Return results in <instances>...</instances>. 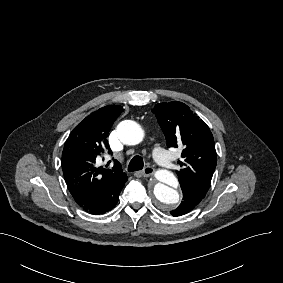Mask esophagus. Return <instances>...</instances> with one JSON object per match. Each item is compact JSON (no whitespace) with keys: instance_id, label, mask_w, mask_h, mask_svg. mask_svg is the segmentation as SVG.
Segmentation results:
<instances>
[{"instance_id":"esophagus-1","label":"esophagus","mask_w":283,"mask_h":283,"mask_svg":"<svg viewBox=\"0 0 283 283\" xmlns=\"http://www.w3.org/2000/svg\"><path fill=\"white\" fill-rule=\"evenodd\" d=\"M155 173L154 168L151 166L145 167L142 171H139L138 174L143 176V177H149Z\"/></svg>"}]
</instances>
